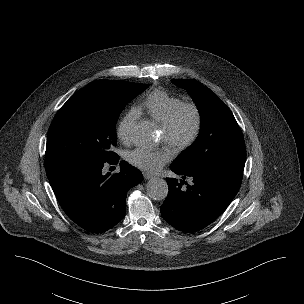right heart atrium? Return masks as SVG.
Masks as SVG:
<instances>
[{
  "mask_svg": "<svg viewBox=\"0 0 304 304\" xmlns=\"http://www.w3.org/2000/svg\"><path fill=\"white\" fill-rule=\"evenodd\" d=\"M139 118L135 109L127 111L119 120L116 128L117 137L123 143H129L133 128Z\"/></svg>",
  "mask_w": 304,
  "mask_h": 304,
  "instance_id": "right-heart-atrium-1",
  "label": "right heart atrium"
}]
</instances>
